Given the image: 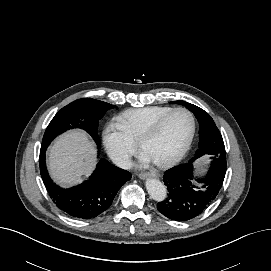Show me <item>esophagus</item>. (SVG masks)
<instances>
[{"mask_svg": "<svg viewBox=\"0 0 271 271\" xmlns=\"http://www.w3.org/2000/svg\"><path fill=\"white\" fill-rule=\"evenodd\" d=\"M139 178L141 179H147V178H159V174L156 172H145V173H140Z\"/></svg>", "mask_w": 271, "mask_h": 271, "instance_id": "34e87169", "label": "esophagus"}]
</instances>
